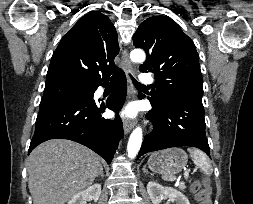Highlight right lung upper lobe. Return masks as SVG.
Wrapping results in <instances>:
<instances>
[{"instance_id": "obj_1", "label": "right lung upper lobe", "mask_w": 253, "mask_h": 204, "mask_svg": "<svg viewBox=\"0 0 253 204\" xmlns=\"http://www.w3.org/2000/svg\"><path fill=\"white\" fill-rule=\"evenodd\" d=\"M119 53L117 32L100 12L83 16L61 39L48 68L46 83L69 81L90 87L109 81L121 70L114 64Z\"/></svg>"}]
</instances>
